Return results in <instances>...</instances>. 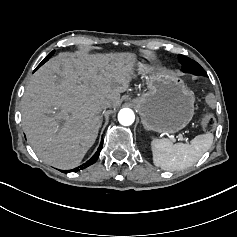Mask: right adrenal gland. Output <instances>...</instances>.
<instances>
[{
    "mask_svg": "<svg viewBox=\"0 0 237 237\" xmlns=\"http://www.w3.org/2000/svg\"><path fill=\"white\" fill-rule=\"evenodd\" d=\"M102 119H103V116L101 115V116H100V126H101V124H102Z\"/></svg>",
    "mask_w": 237,
    "mask_h": 237,
    "instance_id": "2a0ac1e0",
    "label": "right adrenal gland"
}]
</instances>
